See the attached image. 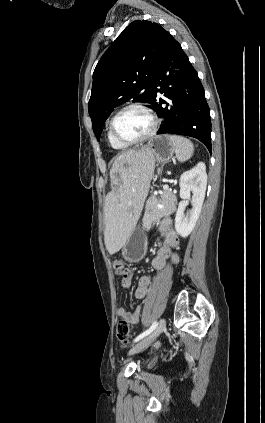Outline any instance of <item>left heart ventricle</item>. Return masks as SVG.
<instances>
[{"label": "left heart ventricle", "mask_w": 265, "mask_h": 423, "mask_svg": "<svg viewBox=\"0 0 265 423\" xmlns=\"http://www.w3.org/2000/svg\"><path fill=\"white\" fill-rule=\"evenodd\" d=\"M151 128V120L142 111L130 109L118 116L115 122L116 133L127 140L145 135Z\"/></svg>", "instance_id": "left-heart-ventricle-1"}]
</instances>
